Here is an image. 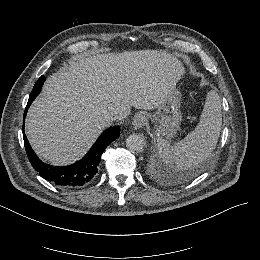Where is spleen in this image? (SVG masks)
<instances>
[{
    "instance_id": "spleen-1",
    "label": "spleen",
    "mask_w": 260,
    "mask_h": 260,
    "mask_svg": "<svg viewBox=\"0 0 260 260\" xmlns=\"http://www.w3.org/2000/svg\"><path fill=\"white\" fill-rule=\"evenodd\" d=\"M221 125L219 96L215 91H209L195 129L173 146L165 139L159 138L157 143L159 156L168 163L175 162L179 169L196 166L216 147Z\"/></svg>"
}]
</instances>
